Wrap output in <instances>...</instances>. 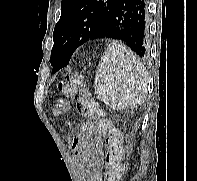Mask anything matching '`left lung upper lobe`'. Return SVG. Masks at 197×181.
<instances>
[{"label":"left lung upper lobe","instance_id":"left-lung-upper-lobe-1","mask_svg":"<svg viewBox=\"0 0 197 181\" xmlns=\"http://www.w3.org/2000/svg\"><path fill=\"white\" fill-rule=\"evenodd\" d=\"M115 0H62L51 51L53 73L65 67L73 52L95 34Z\"/></svg>","mask_w":197,"mask_h":181}]
</instances>
